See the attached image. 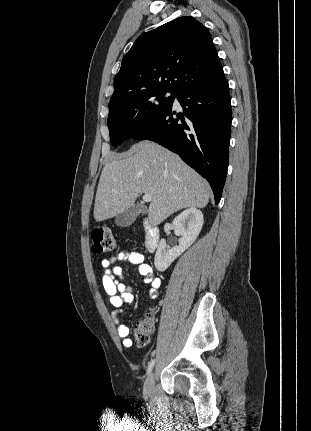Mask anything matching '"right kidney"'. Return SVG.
Masks as SVG:
<instances>
[{"mask_svg": "<svg viewBox=\"0 0 311 431\" xmlns=\"http://www.w3.org/2000/svg\"><path fill=\"white\" fill-rule=\"evenodd\" d=\"M203 214L197 208H188L174 217L175 235H181L179 245L166 249V239H160L158 249L154 257V265L158 271H165L172 261L179 257L185 249H188L199 235L203 225Z\"/></svg>", "mask_w": 311, "mask_h": 431, "instance_id": "right-kidney-1", "label": "right kidney"}]
</instances>
